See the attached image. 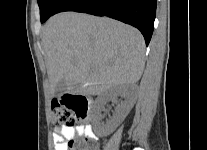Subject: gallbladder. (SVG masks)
Masks as SVG:
<instances>
[{"label":"gallbladder","instance_id":"bac80fb5","mask_svg":"<svg viewBox=\"0 0 207 150\" xmlns=\"http://www.w3.org/2000/svg\"><path fill=\"white\" fill-rule=\"evenodd\" d=\"M66 90V84L65 82L62 80L60 81L55 88V93L57 96H59L60 94H62L64 91Z\"/></svg>","mask_w":207,"mask_h":150}]
</instances>
